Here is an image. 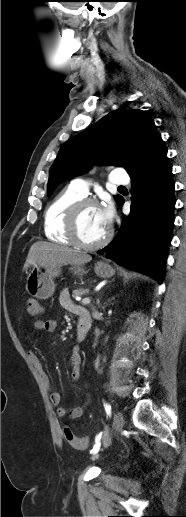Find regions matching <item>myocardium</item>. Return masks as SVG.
I'll use <instances>...</instances> for the list:
<instances>
[{"label":"myocardium","instance_id":"1","mask_svg":"<svg viewBox=\"0 0 186 517\" xmlns=\"http://www.w3.org/2000/svg\"><path fill=\"white\" fill-rule=\"evenodd\" d=\"M87 206H97V202L92 198L83 197L70 207L67 214V232L74 245L82 249L94 250L104 246L110 240L112 230L108 229L104 236L96 242H85L79 233V218L82 210Z\"/></svg>","mask_w":186,"mask_h":517}]
</instances>
